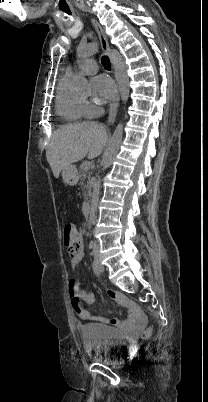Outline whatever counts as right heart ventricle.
Listing matches in <instances>:
<instances>
[{
	"instance_id": "1",
	"label": "right heart ventricle",
	"mask_w": 208,
	"mask_h": 402,
	"mask_svg": "<svg viewBox=\"0 0 208 402\" xmlns=\"http://www.w3.org/2000/svg\"><path fill=\"white\" fill-rule=\"evenodd\" d=\"M72 77L73 74L66 72L59 81L56 96V112L66 125L81 126L87 120L83 105V95L71 91L70 81Z\"/></svg>"
}]
</instances>
